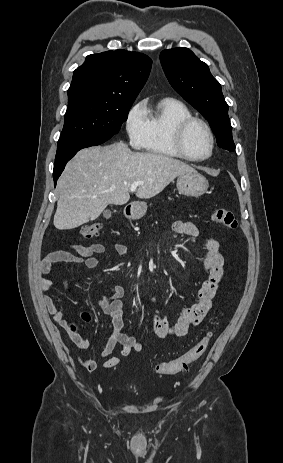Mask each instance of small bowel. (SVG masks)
Instances as JSON below:
<instances>
[{"label":"small bowel","mask_w":283,"mask_h":463,"mask_svg":"<svg viewBox=\"0 0 283 463\" xmlns=\"http://www.w3.org/2000/svg\"><path fill=\"white\" fill-rule=\"evenodd\" d=\"M173 230L177 234L187 235L194 240L200 238V231L192 222L176 221L173 224ZM70 249L75 253L57 250L47 254L41 263L40 273L42 277L39 280L46 310L57 323L66 328H70L68 321L64 318L62 311L57 307L51 296L48 295V291L53 287V281L47 276L51 273L53 265L56 263H71L82 265L86 269H94L100 262L96 255H108L105 246L100 243H93L88 246L71 244ZM114 249L119 255H128V250L123 244H115ZM205 251L203 267L207 272V279L197 293L196 303L182 309L176 322L172 325L158 315H154L151 320L152 330L158 338L165 339L170 336L182 337L186 335L188 330L197 326L211 309L224 275L225 259L219 250L218 241L214 238H205ZM64 284L69 289L68 284L66 282ZM124 295V288L115 286L107 296L96 302L97 306L111 318L112 323L111 335L102 351V357L106 359L103 366L107 369L121 363L120 357H111L118 346H121V357L128 356L132 351L140 352L144 347L141 341L123 332L122 298ZM70 336L78 349L86 350L89 348V341L82 338L77 332L71 330ZM79 361L83 368L89 372L94 371L97 367L96 361L91 357L82 356Z\"/></svg>","instance_id":"small-bowel-1"}]
</instances>
